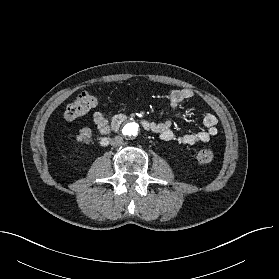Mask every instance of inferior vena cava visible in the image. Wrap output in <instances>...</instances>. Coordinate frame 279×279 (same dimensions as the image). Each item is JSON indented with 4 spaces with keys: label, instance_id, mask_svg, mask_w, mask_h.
Here are the masks:
<instances>
[{
    "label": "inferior vena cava",
    "instance_id": "obj_1",
    "mask_svg": "<svg viewBox=\"0 0 279 279\" xmlns=\"http://www.w3.org/2000/svg\"><path fill=\"white\" fill-rule=\"evenodd\" d=\"M110 144L113 147H119L123 144V138L121 136H115L111 141Z\"/></svg>",
    "mask_w": 279,
    "mask_h": 279
}]
</instances>
